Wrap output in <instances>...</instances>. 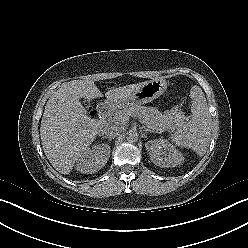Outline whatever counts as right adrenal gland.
<instances>
[{
  "label": "right adrenal gland",
  "mask_w": 248,
  "mask_h": 248,
  "mask_svg": "<svg viewBox=\"0 0 248 248\" xmlns=\"http://www.w3.org/2000/svg\"><path fill=\"white\" fill-rule=\"evenodd\" d=\"M104 138L108 139L109 142L112 140L111 137H106V136H105Z\"/></svg>",
  "instance_id": "1"
}]
</instances>
